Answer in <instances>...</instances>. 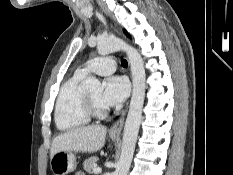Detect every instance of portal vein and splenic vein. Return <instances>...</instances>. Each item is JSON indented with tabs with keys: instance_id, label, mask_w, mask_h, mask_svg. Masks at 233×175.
<instances>
[{
	"instance_id": "1",
	"label": "portal vein and splenic vein",
	"mask_w": 233,
	"mask_h": 175,
	"mask_svg": "<svg viewBox=\"0 0 233 175\" xmlns=\"http://www.w3.org/2000/svg\"><path fill=\"white\" fill-rule=\"evenodd\" d=\"M93 172H94V174H99L102 172V169L101 168H94Z\"/></svg>"
}]
</instances>
